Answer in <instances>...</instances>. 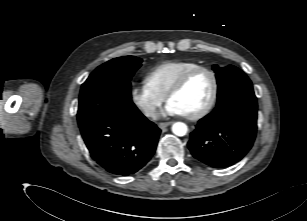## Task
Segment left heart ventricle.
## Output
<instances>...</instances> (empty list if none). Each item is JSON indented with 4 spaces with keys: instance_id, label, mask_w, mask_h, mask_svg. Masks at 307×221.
<instances>
[{
    "instance_id": "b2bd125f",
    "label": "left heart ventricle",
    "mask_w": 307,
    "mask_h": 221,
    "mask_svg": "<svg viewBox=\"0 0 307 221\" xmlns=\"http://www.w3.org/2000/svg\"><path fill=\"white\" fill-rule=\"evenodd\" d=\"M213 89L210 74L200 71L193 75L184 88L170 98L169 102L175 104L184 115L198 112L209 101Z\"/></svg>"
}]
</instances>
